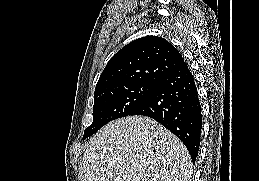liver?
<instances>
[{
  "label": "liver",
  "mask_w": 259,
  "mask_h": 181,
  "mask_svg": "<svg viewBox=\"0 0 259 181\" xmlns=\"http://www.w3.org/2000/svg\"><path fill=\"white\" fill-rule=\"evenodd\" d=\"M184 144L153 119L128 116L110 122L89 141L82 181H192Z\"/></svg>",
  "instance_id": "obj_1"
}]
</instances>
